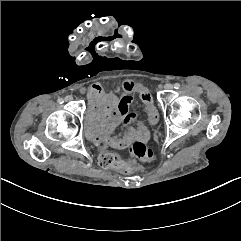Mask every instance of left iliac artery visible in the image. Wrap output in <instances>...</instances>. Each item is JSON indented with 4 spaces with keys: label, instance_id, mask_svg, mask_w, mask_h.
<instances>
[{
    "label": "left iliac artery",
    "instance_id": "44dca946",
    "mask_svg": "<svg viewBox=\"0 0 241 241\" xmlns=\"http://www.w3.org/2000/svg\"><path fill=\"white\" fill-rule=\"evenodd\" d=\"M174 88H175V89H179V88H180V84H179V83H175V84H174Z\"/></svg>",
    "mask_w": 241,
    "mask_h": 241
}]
</instances>
